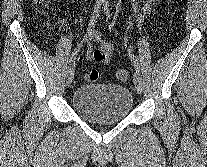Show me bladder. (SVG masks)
<instances>
[{"mask_svg": "<svg viewBox=\"0 0 207 167\" xmlns=\"http://www.w3.org/2000/svg\"><path fill=\"white\" fill-rule=\"evenodd\" d=\"M75 111L91 122L114 123L126 118L133 108L129 89L119 84H87L72 98Z\"/></svg>", "mask_w": 207, "mask_h": 167, "instance_id": "bladder-1", "label": "bladder"}]
</instances>
